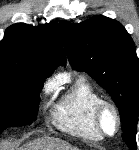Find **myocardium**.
<instances>
[{
  "label": "myocardium",
  "mask_w": 139,
  "mask_h": 150,
  "mask_svg": "<svg viewBox=\"0 0 139 150\" xmlns=\"http://www.w3.org/2000/svg\"><path fill=\"white\" fill-rule=\"evenodd\" d=\"M106 109H110L113 112V114L115 116V119H116V130H115V132L113 134H107L104 131L103 127H102L101 119H102L103 112ZM92 118H93V124H94V127H95L96 131L103 138L115 137L121 130L122 121H121V116H120L119 110L116 107V105L113 102H111V101L101 99L95 105V107L93 109Z\"/></svg>",
  "instance_id": "obj_1"
}]
</instances>
